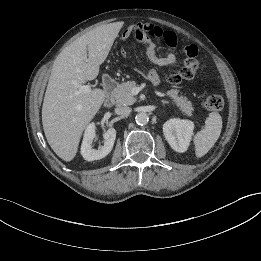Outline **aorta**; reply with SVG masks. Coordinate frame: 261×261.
Returning a JSON list of instances; mask_svg holds the SVG:
<instances>
[{"label": "aorta", "instance_id": "1", "mask_svg": "<svg viewBox=\"0 0 261 261\" xmlns=\"http://www.w3.org/2000/svg\"><path fill=\"white\" fill-rule=\"evenodd\" d=\"M135 121L138 125H146L149 121V117L146 113L144 112H141V113H138L135 117Z\"/></svg>", "mask_w": 261, "mask_h": 261}]
</instances>
